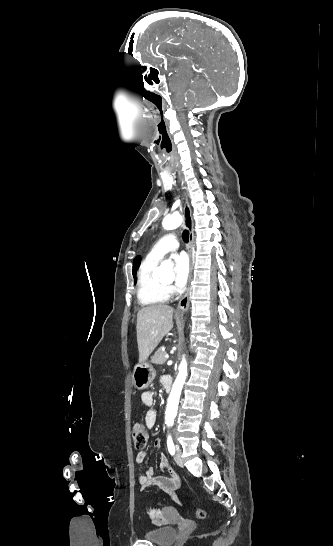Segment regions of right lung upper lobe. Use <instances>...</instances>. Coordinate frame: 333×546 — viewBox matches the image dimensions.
Returning a JSON list of instances; mask_svg holds the SVG:
<instances>
[{
    "mask_svg": "<svg viewBox=\"0 0 333 546\" xmlns=\"http://www.w3.org/2000/svg\"><path fill=\"white\" fill-rule=\"evenodd\" d=\"M140 261H141V257H140V256H137V257L134 259L133 265H134V264H137V265L139 266V265H140Z\"/></svg>",
    "mask_w": 333,
    "mask_h": 546,
    "instance_id": "cb5924a9",
    "label": "right lung upper lobe"
}]
</instances>
